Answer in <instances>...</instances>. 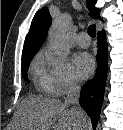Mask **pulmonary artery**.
<instances>
[{"mask_svg":"<svg viewBox=\"0 0 123 130\" xmlns=\"http://www.w3.org/2000/svg\"><path fill=\"white\" fill-rule=\"evenodd\" d=\"M76 43L82 47V48H86L90 45V39L88 37V35L84 32H81L77 35L76 37Z\"/></svg>","mask_w":123,"mask_h":130,"instance_id":"e3ab8cb5","label":"pulmonary artery"}]
</instances>
